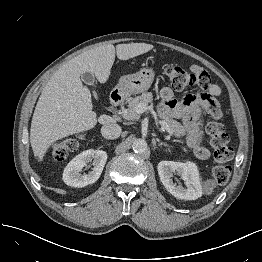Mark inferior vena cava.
I'll return each mask as SVG.
<instances>
[{"mask_svg": "<svg viewBox=\"0 0 262 262\" xmlns=\"http://www.w3.org/2000/svg\"><path fill=\"white\" fill-rule=\"evenodd\" d=\"M121 127L116 123H108L102 126L101 133L106 139H116L121 134Z\"/></svg>", "mask_w": 262, "mask_h": 262, "instance_id": "obj_1", "label": "inferior vena cava"}]
</instances>
